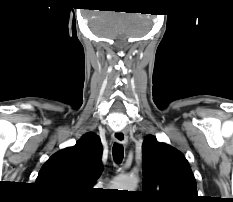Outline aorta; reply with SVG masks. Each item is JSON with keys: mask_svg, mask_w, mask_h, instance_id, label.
Instances as JSON below:
<instances>
[{"mask_svg": "<svg viewBox=\"0 0 233 202\" xmlns=\"http://www.w3.org/2000/svg\"><path fill=\"white\" fill-rule=\"evenodd\" d=\"M138 179L131 175H122L114 179L113 187L118 190L134 191L137 187Z\"/></svg>", "mask_w": 233, "mask_h": 202, "instance_id": "762f6f07", "label": "aorta"}]
</instances>
